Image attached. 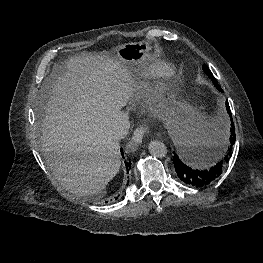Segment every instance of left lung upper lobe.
I'll return each mask as SVG.
<instances>
[{
	"label": "left lung upper lobe",
	"instance_id": "5c2ea615",
	"mask_svg": "<svg viewBox=\"0 0 263 263\" xmlns=\"http://www.w3.org/2000/svg\"><path fill=\"white\" fill-rule=\"evenodd\" d=\"M203 70H204L205 74L212 80V82L217 87V89H221L220 85H218L217 80L215 79L212 72L209 70V68L206 65H203Z\"/></svg>",
	"mask_w": 263,
	"mask_h": 263
}]
</instances>
